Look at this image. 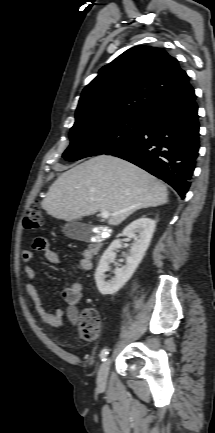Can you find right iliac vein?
Masks as SVG:
<instances>
[{
	"mask_svg": "<svg viewBox=\"0 0 215 433\" xmlns=\"http://www.w3.org/2000/svg\"><path fill=\"white\" fill-rule=\"evenodd\" d=\"M110 368V359L107 358L101 365L98 372L97 383L99 387H104L107 382L108 372Z\"/></svg>",
	"mask_w": 215,
	"mask_h": 433,
	"instance_id": "right-iliac-vein-1",
	"label": "right iliac vein"
}]
</instances>
